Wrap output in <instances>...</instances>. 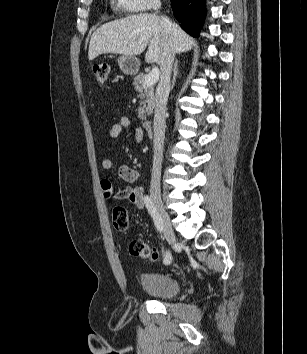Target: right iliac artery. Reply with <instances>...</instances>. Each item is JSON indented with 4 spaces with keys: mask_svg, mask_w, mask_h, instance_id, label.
I'll return each instance as SVG.
<instances>
[{
    "mask_svg": "<svg viewBox=\"0 0 307 354\" xmlns=\"http://www.w3.org/2000/svg\"><path fill=\"white\" fill-rule=\"evenodd\" d=\"M144 202H145L146 208L148 209L149 214L153 218V221H154V224H155L157 230L160 231V233H161L162 229H163L162 221H161L160 215H159L156 207L154 206L152 199L148 195H146L144 197ZM171 261H172V255L169 251H166V253L164 255L163 263L165 265H168L171 263Z\"/></svg>",
    "mask_w": 307,
    "mask_h": 354,
    "instance_id": "obj_1",
    "label": "right iliac artery"
}]
</instances>
